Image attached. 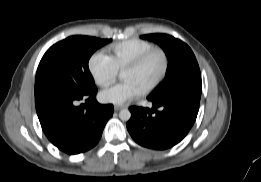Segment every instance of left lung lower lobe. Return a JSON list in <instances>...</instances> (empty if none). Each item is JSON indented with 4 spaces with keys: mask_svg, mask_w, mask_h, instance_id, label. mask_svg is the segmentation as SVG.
Masks as SVG:
<instances>
[{
    "mask_svg": "<svg viewBox=\"0 0 261 182\" xmlns=\"http://www.w3.org/2000/svg\"><path fill=\"white\" fill-rule=\"evenodd\" d=\"M201 93H186L165 102H153L149 110L130 107L131 118L127 129L140 145L163 150L179 143L193 126L200 103ZM158 107L163 108L156 111Z\"/></svg>",
    "mask_w": 261,
    "mask_h": 182,
    "instance_id": "left-lung-lower-lobe-1",
    "label": "left lung lower lobe"
}]
</instances>
